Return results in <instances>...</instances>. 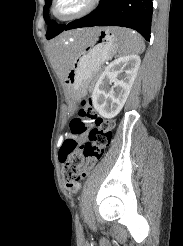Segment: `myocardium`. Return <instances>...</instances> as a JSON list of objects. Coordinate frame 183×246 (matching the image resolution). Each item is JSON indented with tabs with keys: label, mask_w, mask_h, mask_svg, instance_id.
I'll use <instances>...</instances> for the list:
<instances>
[{
	"label": "myocardium",
	"mask_w": 183,
	"mask_h": 246,
	"mask_svg": "<svg viewBox=\"0 0 183 246\" xmlns=\"http://www.w3.org/2000/svg\"><path fill=\"white\" fill-rule=\"evenodd\" d=\"M58 2H59V0H52L50 12L56 20L62 21V22H67V21H72V20L81 18V17L89 14L90 12H92L97 7L100 0H87L85 6L83 8H81L80 10H78L77 12H75L73 14L66 15V16H61L57 13L56 7H57Z\"/></svg>",
	"instance_id": "1"
}]
</instances>
